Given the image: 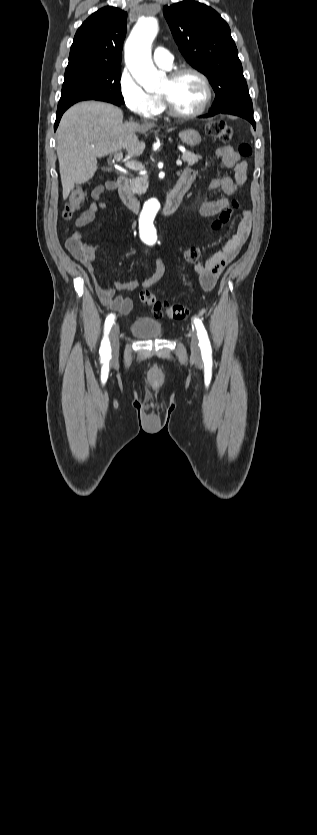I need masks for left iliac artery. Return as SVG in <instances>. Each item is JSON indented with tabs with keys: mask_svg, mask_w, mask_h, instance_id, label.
Segmentation results:
<instances>
[{
	"mask_svg": "<svg viewBox=\"0 0 317 835\" xmlns=\"http://www.w3.org/2000/svg\"><path fill=\"white\" fill-rule=\"evenodd\" d=\"M194 324L197 330V336L199 339V346L201 349L202 358L204 361L210 362L212 360V349L207 331L199 318L194 319Z\"/></svg>",
	"mask_w": 317,
	"mask_h": 835,
	"instance_id": "1",
	"label": "left iliac artery"
}]
</instances>
